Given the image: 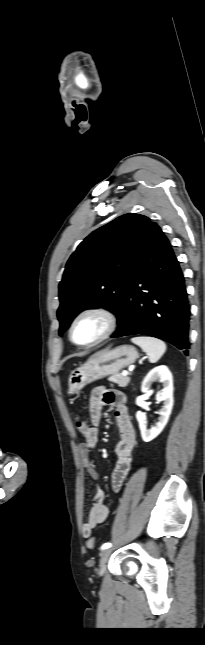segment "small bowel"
I'll list each match as a JSON object with an SVG mask.
<instances>
[{"label": "small bowel", "instance_id": "1", "mask_svg": "<svg viewBox=\"0 0 205 645\" xmlns=\"http://www.w3.org/2000/svg\"><path fill=\"white\" fill-rule=\"evenodd\" d=\"M104 406L115 408V417L120 429L121 439L115 446L117 461L111 476V486L114 491H119L129 473L136 447V432L131 422L125 395L116 390H110L103 386L96 387L90 396L89 413L92 427L89 428L85 442L79 444L78 452L80 459L92 478L96 479L98 472L94 462L90 458V451L99 439V423L101 412ZM108 507L105 505V492L102 488L96 487L88 519L82 527V534L85 538L92 535L93 530L103 523L108 517Z\"/></svg>", "mask_w": 205, "mask_h": 645}]
</instances>
